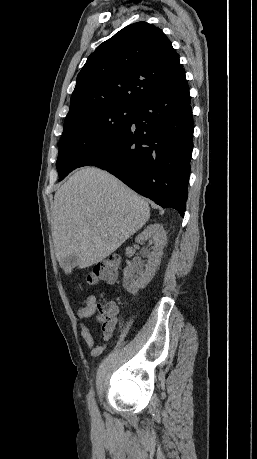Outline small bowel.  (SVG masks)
Returning a JSON list of instances; mask_svg holds the SVG:
<instances>
[{
    "label": "small bowel",
    "mask_w": 257,
    "mask_h": 459,
    "mask_svg": "<svg viewBox=\"0 0 257 459\" xmlns=\"http://www.w3.org/2000/svg\"><path fill=\"white\" fill-rule=\"evenodd\" d=\"M95 303L96 296L89 295L86 299V306L79 308L77 311V317L82 321L89 320L95 312L93 309ZM108 306L110 309L109 313L106 316L99 315L96 318L97 322L101 325L102 338L104 341H108L111 338L117 323V315L119 313V307L116 302L111 301L108 303ZM80 335L85 341L87 348L90 350V356L92 358L98 357L105 351L106 344H101L98 346L94 345V338L88 326L84 323H80Z\"/></svg>",
    "instance_id": "small-bowel-1"
}]
</instances>
